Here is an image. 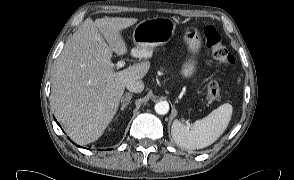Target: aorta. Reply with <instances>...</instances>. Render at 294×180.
Returning <instances> with one entry per match:
<instances>
[{"instance_id":"aorta-1","label":"aorta","mask_w":294,"mask_h":180,"mask_svg":"<svg viewBox=\"0 0 294 180\" xmlns=\"http://www.w3.org/2000/svg\"><path fill=\"white\" fill-rule=\"evenodd\" d=\"M155 112L160 115H165L169 112V104L167 101H160L154 106Z\"/></svg>"}]
</instances>
